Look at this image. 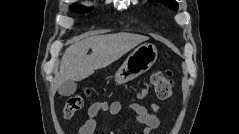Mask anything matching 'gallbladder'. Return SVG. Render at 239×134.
<instances>
[{"instance_id":"obj_1","label":"gallbladder","mask_w":239,"mask_h":134,"mask_svg":"<svg viewBox=\"0 0 239 134\" xmlns=\"http://www.w3.org/2000/svg\"><path fill=\"white\" fill-rule=\"evenodd\" d=\"M76 88V82L69 80L59 85L58 92L62 96H70L75 92Z\"/></svg>"}]
</instances>
